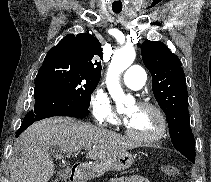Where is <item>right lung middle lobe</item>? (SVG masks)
Returning <instances> with one entry per match:
<instances>
[{
  "instance_id": "dd1d6c3e",
  "label": "right lung middle lobe",
  "mask_w": 211,
  "mask_h": 182,
  "mask_svg": "<svg viewBox=\"0 0 211 182\" xmlns=\"http://www.w3.org/2000/svg\"><path fill=\"white\" fill-rule=\"evenodd\" d=\"M35 82H43L72 99L77 105L89 108L91 93L96 89L99 80L86 78L76 71L65 69L62 65L53 64L41 67Z\"/></svg>"
}]
</instances>
